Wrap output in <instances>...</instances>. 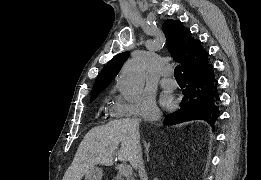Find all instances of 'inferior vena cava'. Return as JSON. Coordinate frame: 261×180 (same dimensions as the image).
Instances as JSON below:
<instances>
[{
    "instance_id": "obj_1",
    "label": "inferior vena cava",
    "mask_w": 261,
    "mask_h": 180,
    "mask_svg": "<svg viewBox=\"0 0 261 180\" xmlns=\"http://www.w3.org/2000/svg\"><path fill=\"white\" fill-rule=\"evenodd\" d=\"M131 164H133L134 168H137V170H139L140 178H144L145 170H144L141 148L137 150L136 160H133Z\"/></svg>"
}]
</instances>
